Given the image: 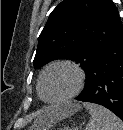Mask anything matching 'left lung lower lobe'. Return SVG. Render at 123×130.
<instances>
[{
    "instance_id": "1",
    "label": "left lung lower lobe",
    "mask_w": 123,
    "mask_h": 130,
    "mask_svg": "<svg viewBox=\"0 0 123 130\" xmlns=\"http://www.w3.org/2000/svg\"><path fill=\"white\" fill-rule=\"evenodd\" d=\"M76 100L102 105L123 120V28L94 60Z\"/></svg>"
}]
</instances>
